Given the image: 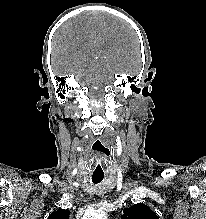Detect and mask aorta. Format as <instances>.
<instances>
[{
	"label": "aorta",
	"instance_id": "aorta-1",
	"mask_svg": "<svg viewBox=\"0 0 206 219\" xmlns=\"http://www.w3.org/2000/svg\"><path fill=\"white\" fill-rule=\"evenodd\" d=\"M83 219H107V215L102 211H95L89 214H86Z\"/></svg>",
	"mask_w": 206,
	"mask_h": 219
}]
</instances>
